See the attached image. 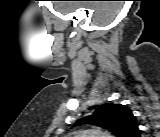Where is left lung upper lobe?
I'll use <instances>...</instances> for the list:
<instances>
[{"label": "left lung upper lobe", "instance_id": "obj_1", "mask_svg": "<svg viewBox=\"0 0 160 137\" xmlns=\"http://www.w3.org/2000/svg\"><path fill=\"white\" fill-rule=\"evenodd\" d=\"M78 124H92L111 131L117 137H130L138 128L137 121L131 110L124 105L107 103L99 106L95 112L78 120Z\"/></svg>", "mask_w": 160, "mask_h": 137}]
</instances>
